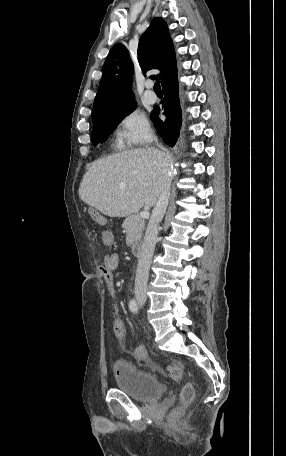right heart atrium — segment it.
Here are the masks:
<instances>
[{
	"label": "right heart atrium",
	"mask_w": 286,
	"mask_h": 456,
	"mask_svg": "<svg viewBox=\"0 0 286 456\" xmlns=\"http://www.w3.org/2000/svg\"><path fill=\"white\" fill-rule=\"evenodd\" d=\"M115 137L119 147H135L149 142L152 139V131L142 113L130 110L117 121Z\"/></svg>",
	"instance_id": "right-heart-atrium-1"
}]
</instances>
